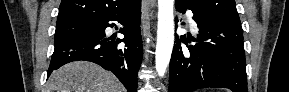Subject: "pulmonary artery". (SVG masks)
<instances>
[{
    "mask_svg": "<svg viewBox=\"0 0 289 92\" xmlns=\"http://www.w3.org/2000/svg\"><path fill=\"white\" fill-rule=\"evenodd\" d=\"M189 23H190V27H191V29L192 30H197V24H196V22L192 19V17L191 16H189Z\"/></svg>",
    "mask_w": 289,
    "mask_h": 92,
    "instance_id": "obj_1",
    "label": "pulmonary artery"
}]
</instances>
